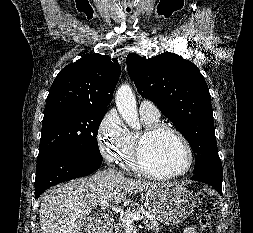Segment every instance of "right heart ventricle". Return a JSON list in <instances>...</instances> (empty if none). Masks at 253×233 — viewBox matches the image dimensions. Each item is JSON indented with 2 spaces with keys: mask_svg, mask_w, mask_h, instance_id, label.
<instances>
[{
  "mask_svg": "<svg viewBox=\"0 0 253 233\" xmlns=\"http://www.w3.org/2000/svg\"><path fill=\"white\" fill-rule=\"evenodd\" d=\"M146 127L159 123V117L152 118L141 116ZM140 133L128 131L126 145L120 155L119 161L122 167L133 172H139L134 163V151Z\"/></svg>",
  "mask_w": 253,
  "mask_h": 233,
  "instance_id": "obj_1",
  "label": "right heart ventricle"
}]
</instances>
